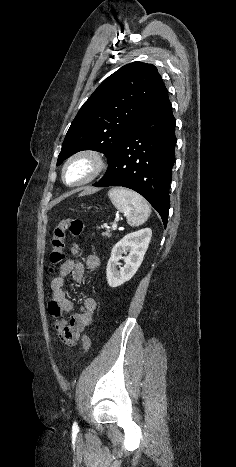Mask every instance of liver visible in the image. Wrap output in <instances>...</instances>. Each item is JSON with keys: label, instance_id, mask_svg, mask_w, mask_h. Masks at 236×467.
Listing matches in <instances>:
<instances>
[{"label": "liver", "instance_id": "obj_1", "mask_svg": "<svg viewBox=\"0 0 236 467\" xmlns=\"http://www.w3.org/2000/svg\"><path fill=\"white\" fill-rule=\"evenodd\" d=\"M96 191H97V189H95V188H89V189L84 190L82 193H80L79 196H84V195H87V194H90V193H94Z\"/></svg>", "mask_w": 236, "mask_h": 467}]
</instances>
